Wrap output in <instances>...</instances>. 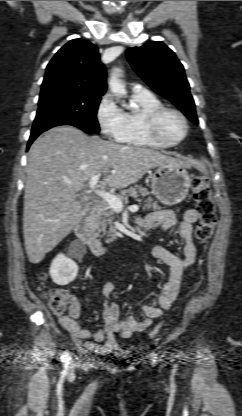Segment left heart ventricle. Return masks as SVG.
Wrapping results in <instances>:
<instances>
[{"label":"left heart ventricle","instance_id":"1","mask_svg":"<svg viewBox=\"0 0 242 416\" xmlns=\"http://www.w3.org/2000/svg\"><path fill=\"white\" fill-rule=\"evenodd\" d=\"M159 129L161 133L169 139H178L182 136L184 127L179 119L173 113H166L160 120Z\"/></svg>","mask_w":242,"mask_h":416}]
</instances>
